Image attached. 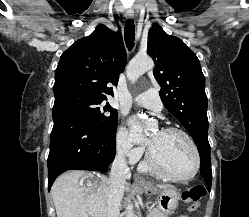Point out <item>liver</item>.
Listing matches in <instances>:
<instances>
[{
  "label": "liver",
  "instance_id": "1",
  "mask_svg": "<svg viewBox=\"0 0 249 217\" xmlns=\"http://www.w3.org/2000/svg\"><path fill=\"white\" fill-rule=\"evenodd\" d=\"M109 186L110 179L95 172L73 170L61 175L51 189L57 217H110ZM157 187L165 189L169 186ZM124 190H129L128 185ZM115 217H119V213Z\"/></svg>",
  "mask_w": 249,
  "mask_h": 217
}]
</instances>
